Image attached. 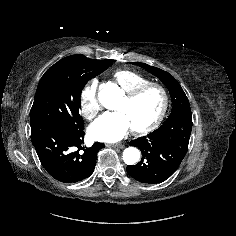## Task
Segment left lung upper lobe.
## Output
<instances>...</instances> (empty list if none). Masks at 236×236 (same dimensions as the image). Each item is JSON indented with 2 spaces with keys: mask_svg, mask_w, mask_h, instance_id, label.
Returning <instances> with one entry per match:
<instances>
[{
  "mask_svg": "<svg viewBox=\"0 0 236 236\" xmlns=\"http://www.w3.org/2000/svg\"><path fill=\"white\" fill-rule=\"evenodd\" d=\"M132 64L143 67L145 70L158 77L166 85L170 92L173 104L171 114L183 109L190 110V104L185 92L172 75L162 69L147 65L145 63L133 62Z\"/></svg>",
  "mask_w": 236,
  "mask_h": 236,
  "instance_id": "5c2ea615",
  "label": "left lung upper lobe"
}]
</instances>
